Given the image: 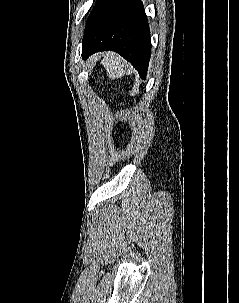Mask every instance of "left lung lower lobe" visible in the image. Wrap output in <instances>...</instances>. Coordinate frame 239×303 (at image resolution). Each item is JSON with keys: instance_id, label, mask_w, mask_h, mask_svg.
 I'll list each match as a JSON object with an SVG mask.
<instances>
[{"instance_id": "left-lung-lower-lobe-1", "label": "left lung lower lobe", "mask_w": 239, "mask_h": 303, "mask_svg": "<svg viewBox=\"0 0 239 303\" xmlns=\"http://www.w3.org/2000/svg\"><path fill=\"white\" fill-rule=\"evenodd\" d=\"M82 43L83 58L112 50L131 62L140 76L146 78L151 40L141 0H117Z\"/></svg>"}]
</instances>
